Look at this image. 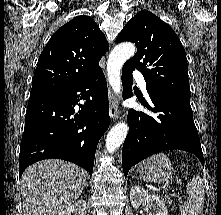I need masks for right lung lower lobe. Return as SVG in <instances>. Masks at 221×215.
<instances>
[{
  "instance_id": "obj_1",
  "label": "right lung lower lobe",
  "mask_w": 221,
  "mask_h": 215,
  "mask_svg": "<svg viewBox=\"0 0 221 215\" xmlns=\"http://www.w3.org/2000/svg\"><path fill=\"white\" fill-rule=\"evenodd\" d=\"M80 100V110L74 107ZM110 123L108 91L101 68L49 95L30 98L20 144L19 177L43 159L75 163L92 175L97 144Z\"/></svg>"
}]
</instances>
